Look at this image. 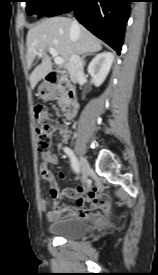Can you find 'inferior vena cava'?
<instances>
[{"label": "inferior vena cava", "instance_id": "602c4592", "mask_svg": "<svg viewBox=\"0 0 158 275\" xmlns=\"http://www.w3.org/2000/svg\"><path fill=\"white\" fill-rule=\"evenodd\" d=\"M72 27L73 28L78 27V22L76 20L72 21ZM67 69H68L71 81L73 83H77L78 79L83 75L82 58L78 54L73 53L70 57Z\"/></svg>", "mask_w": 158, "mask_h": 275}]
</instances>
